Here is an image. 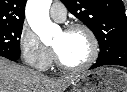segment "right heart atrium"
Wrapping results in <instances>:
<instances>
[{
  "mask_svg": "<svg viewBox=\"0 0 127 92\" xmlns=\"http://www.w3.org/2000/svg\"><path fill=\"white\" fill-rule=\"evenodd\" d=\"M19 47L22 59L29 67L45 70L51 66L54 58L52 50L29 27H23Z\"/></svg>",
  "mask_w": 127,
  "mask_h": 92,
  "instance_id": "right-heart-atrium-1",
  "label": "right heart atrium"
}]
</instances>
